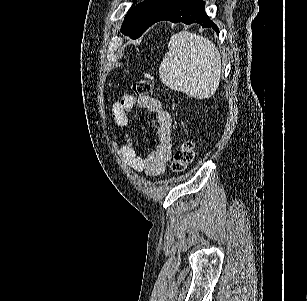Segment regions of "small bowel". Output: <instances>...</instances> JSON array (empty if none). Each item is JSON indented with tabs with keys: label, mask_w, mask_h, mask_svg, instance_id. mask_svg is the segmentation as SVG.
Listing matches in <instances>:
<instances>
[{
	"label": "small bowel",
	"mask_w": 307,
	"mask_h": 301,
	"mask_svg": "<svg viewBox=\"0 0 307 301\" xmlns=\"http://www.w3.org/2000/svg\"><path fill=\"white\" fill-rule=\"evenodd\" d=\"M147 109L156 115L158 144L153 152L144 155L138 152L129 134V113L135 108ZM111 114L114 122L121 129V134L114 135L112 145L121 160L137 172L155 177L164 173L166 164L171 158L172 117L151 96H132L124 94L112 105Z\"/></svg>",
	"instance_id": "obj_1"
}]
</instances>
